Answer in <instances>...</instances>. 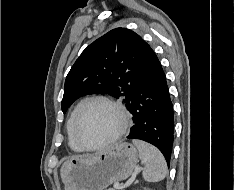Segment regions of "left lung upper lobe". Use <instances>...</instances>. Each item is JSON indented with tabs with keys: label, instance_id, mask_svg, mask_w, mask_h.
<instances>
[{
	"label": "left lung upper lobe",
	"instance_id": "5c2ea615",
	"mask_svg": "<svg viewBox=\"0 0 234 190\" xmlns=\"http://www.w3.org/2000/svg\"><path fill=\"white\" fill-rule=\"evenodd\" d=\"M143 39L116 28L91 43L69 71L64 86L63 113L79 97L106 93L127 105L140 74Z\"/></svg>",
	"mask_w": 234,
	"mask_h": 190
}]
</instances>
